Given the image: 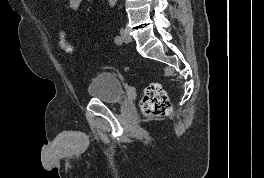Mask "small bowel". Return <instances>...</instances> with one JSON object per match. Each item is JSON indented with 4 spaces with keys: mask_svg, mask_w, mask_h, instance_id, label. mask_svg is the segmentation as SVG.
Listing matches in <instances>:
<instances>
[{
    "mask_svg": "<svg viewBox=\"0 0 264 178\" xmlns=\"http://www.w3.org/2000/svg\"><path fill=\"white\" fill-rule=\"evenodd\" d=\"M69 8L72 12H77L81 6L82 0H67Z\"/></svg>",
    "mask_w": 264,
    "mask_h": 178,
    "instance_id": "1",
    "label": "small bowel"
}]
</instances>
